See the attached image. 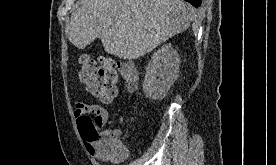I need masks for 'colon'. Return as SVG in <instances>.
Here are the masks:
<instances>
[{
  "label": "colon",
  "instance_id": "1",
  "mask_svg": "<svg viewBox=\"0 0 276 165\" xmlns=\"http://www.w3.org/2000/svg\"><path fill=\"white\" fill-rule=\"evenodd\" d=\"M119 77L124 79L130 89L136 87L137 72L131 63L109 57H103L97 62L87 55L81 56L79 78L92 97L103 102L114 100ZM78 126L86 145L102 143L109 151L122 153L115 136L111 132L103 131L101 125L89 116L81 117Z\"/></svg>",
  "mask_w": 276,
  "mask_h": 165
}]
</instances>
